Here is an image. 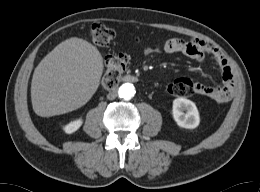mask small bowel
<instances>
[{
    "instance_id": "1",
    "label": "small bowel",
    "mask_w": 260,
    "mask_h": 192,
    "mask_svg": "<svg viewBox=\"0 0 260 192\" xmlns=\"http://www.w3.org/2000/svg\"><path fill=\"white\" fill-rule=\"evenodd\" d=\"M159 51L157 48L147 47L144 49L143 54L151 55ZM163 51L168 54H183L199 62L203 61L207 55L212 56L220 68L222 84L219 86H206L195 83V93L209 97L219 103H227L232 99L235 91L233 73L227 59L216 46L197 38L189 40L171 38L164 44Z\"/></svg>"
}]
</instances>
